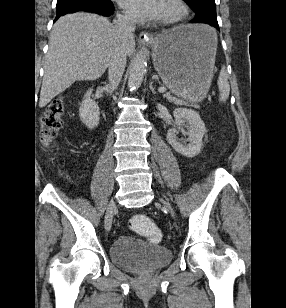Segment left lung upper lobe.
Returning a JSON list of instances; mask_svg holds the SVG:
<instances>
[{
	"label": "left lung upper lobe",
	"instance_id": "5c2ea615",
	"mask_svg": "<svg viewBox=\"0 0 286 308\" xmlns=\"http://www.w3.org/2000/svg\"><path fill=\"white\" fill-rule=\"evenodd\" d=\"M196 12L206 8H216L215 0H184Z\"/></svg>",
	"mask_w": 286,
	"mask_h": 308
}]
</instances>
